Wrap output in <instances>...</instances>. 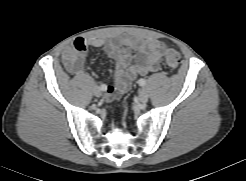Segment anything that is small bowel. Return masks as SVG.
<instances>
[{"mask_svg":"<svg viewBox=\"0 0 246 181\" xmlns=\"http://www.w3.org/2000/svg\"><path fill=\"white\" fill-rule=\"evenodd\" d=\"M88 47L102 49L115 61V86L102 84L106 86L107 96L112 99L126 93L137 76L158 71L166 49L159 40H142L126 35H118L111 40L77 38L62 55L67 71L75 75L83 73Z\"/></svg>","mask_w":246,"mask_h":181,"instance_id":"1","label":"small bowel"}]
</instances>
